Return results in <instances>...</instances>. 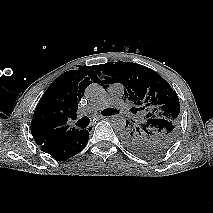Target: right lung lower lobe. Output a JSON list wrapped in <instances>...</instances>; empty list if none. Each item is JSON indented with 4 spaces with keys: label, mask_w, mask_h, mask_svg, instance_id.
I'll use <instances>...</instances> for the list:
<instances>
[{
    "label": "right lung lower lobe",
    "mask_w": 213,
    "mask_h": 213,
    "mask_svg": "<svg viewBox=\"0 0 213 213\" xmlns=\"http://www.w3.org/2000/svg\"><path fill=\"white\" fill-rule=\"evenodd\" d=\"M88 139V130H80L71 140L54 147H41V150L51 155L54 159L64 160L82 151L87 145Z\"/></svg>",
    "instance_id": "98d812e1"
}]
</instances>
